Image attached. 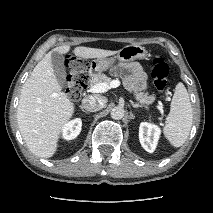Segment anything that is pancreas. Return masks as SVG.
<instances>
[{
  "instance_id": "obj_1",
  "label": "pancreas",
  "mask_w": 213,
  "mask_h": 213,
  "mask_svg": "<svg viewBox=\"0 0 213 213\" xmlns=\"http://www.w3.org/2000/svg\"><path fill=\"white\" fill-rule=\"evenodd\" d=\"M112 80L111 78L107 77L105 74H96L95 76L92 77L91 80V85H95L98 83H110ZM135 99L139 101L143 105H150L155 101V95H149L148 93L144 92H136L134 93Z\"/></svg>"
}]
</instances>
